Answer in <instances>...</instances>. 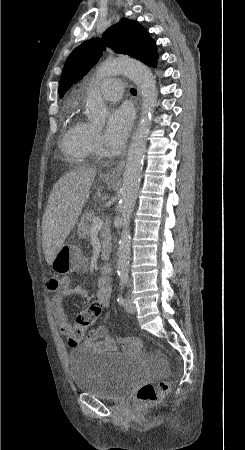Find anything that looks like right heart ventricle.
<instances>
[{
  "label": "right heart ventricle",
  "instance_id": "1",
  "mask_svg": "<svg viewBox=\"0 0 245 450\" xmlns=\"http://www.w3.org/2000/svg\"><path fill=\"white\" fill-rule=\"evenodd\" d=\"M91 128L90 124L79 118L72 120L62 136V151L73 156L78 162L85 161L90 153L88 139Z\"/></svg>",
  "mask_w": 245,
  "mask_h": 450
}]
</instances>
